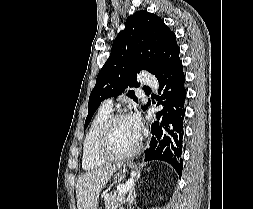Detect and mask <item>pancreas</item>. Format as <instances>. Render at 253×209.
I'll return each mask as SVG.
<instances>
[{"instance_id":"pancreas-1","label":"pancreas","mask_w":253,"mask_h":209,"mask_svg":"<svg viewBox=\"0 0 253 209\" xmlns=\"http://www.w3.org/2000/svg\"><path fill=\"white\" fill-rule=\"evenodd\" d=\"M125 193L119 194V191H115L113 194H109L105 197V209H117L125 202Z\"/></svg>"}]
</instances>
